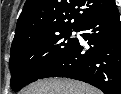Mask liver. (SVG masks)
I'll return each instance as SVG.
<instances>
[{
    "mask_svg": "<svg viewBox=\"0 0 121 94\" xmlns=\"http://www.w3.org/2000/svg\"><path fill=\"white\" fill-rule=\"evenodd\" d=\"M20 94H102V92L84 82L65 78H48L31 84Z\"/></svg>",
    "mask_w": 121,
    "mask_h": 94,
    "instance_id": "liver-1",
    "label": "liver"
}]
</instances>
